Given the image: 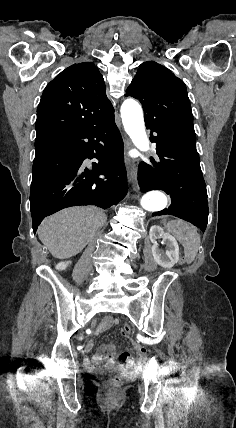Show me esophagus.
<instances>
[{
    "label": "esophagus",
    "mask_w": 236,
    "mask_h": 428,
    "mask_svg": "<svg viewBox=\"0 0 236 428\" xmlns=\"http://www.w3.org/2000/svg\"><path fill=\"white\" fill-rule=\"evenodd\" d=\"M125 146H126L127 149H131L132 148V144H131L130 140L125 139ZM129 179L131 181V187H132V189L134 191H137V174H136V171H135L134 167L131 169Z\"/></svg>",
    "instance_id": "1"
}]
</instances>
